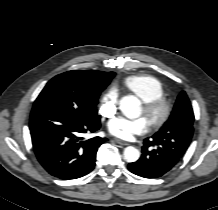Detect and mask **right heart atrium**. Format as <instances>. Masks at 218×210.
<instances>
[{"instance_id":"obj_1","label":"right heart atrium","mask_w":218,"mask_h":210,"mask_svg":"<svg viewBox=\"0 0 218 210\" xmlns=\"http://www.w3.org/2000/svg\"><path fill=\"white\" fill-rule=\"evenodd\" d=\"M117 107L118 94L115 90L111 89L101 99L100 113L105 117H112L116 113Z\"/></svg>"}]
</instances>
